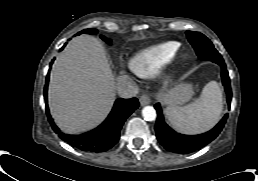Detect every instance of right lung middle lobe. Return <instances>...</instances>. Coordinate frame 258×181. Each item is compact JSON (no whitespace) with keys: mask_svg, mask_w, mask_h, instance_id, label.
Listing matches in <instances>:
<instances>
[{"mask_svg":"<svg viewBox=\"0 0 258 181\" xmlns=\"http://www.w3.org/2000/svg\"><path fill=\"white\" fill-rule=\"evenodd\" d=\"M98 31L96 29H85L81 32H79L78 34H81V33H87V34H96ZM102 40H104L106 43L110 44V40L107 39L105 36H100Z\"/></svg>","mask_w":258,"mask_h":181,"instance_id":"right-lung-middle-lobe-1","label":"right lung middle lobe"}]
</instances>
